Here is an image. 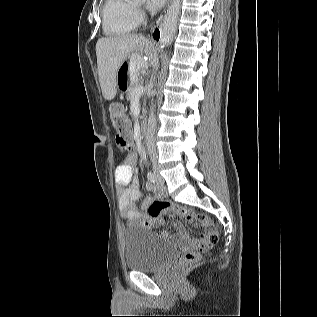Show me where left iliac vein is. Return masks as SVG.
<instances>
[{"label": "left iliac vein", "mask_w": 317, "mask_h": 317, "mask_svg": "<svg viewBox=\"0 0 317 317\" xmlns=\"http://www.w3.org/2000/svg\"><path fill=\"white\" fill-rule=\"evenodd\" d=\"M156 174H157V184L158 185H163L164 183V179L159 175V170H156Z\"/></svg>", "instance_id": "obj_1"}]
</instances>
